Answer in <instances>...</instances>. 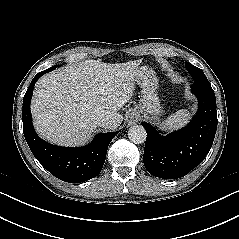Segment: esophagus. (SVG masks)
<instances>
[{
	"label": "esophagus",
	"instance_id": "obj_1",
	"mask_svg": "<svg viewBox=\"0 0 239 239\" xmlns=\"http://www.w3.org/2000/svg\"><path fill=\"white\" fill-rule=\"evenodd\" d=\"M133 119H134V121L136 122V121H138L139 116L137 115V116H135Z\"/></svg>",
	"mask_w": 239,
	"mask_h": 239
}]
</instances>
